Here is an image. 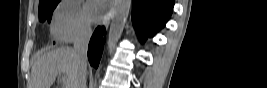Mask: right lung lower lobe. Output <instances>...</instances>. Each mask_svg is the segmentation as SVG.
<instances>
[{
	"label": "right lung lower lobe",
	"instance_id": "right-lung-lower-lobe-1",
	"mask_svg": "<svg viewBox=\"0 0 267 88\" xmlns=\"http://www.w3.org/2000/svg\"><path fill=\"white\" fill-rule=\"evenodd\" d=\"M105 28L98 27L92 35L88 47V59L91 66L97 68L103 52Z\"/></svg>",
	"mask_w": 267,
	"mask_h": 88
}]
</instances>
